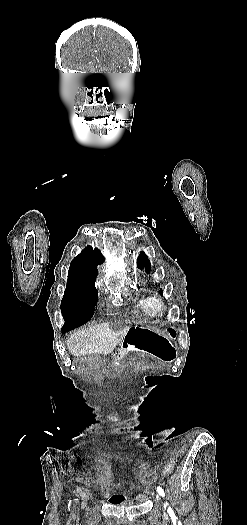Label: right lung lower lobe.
Masks as SVG:
<instances>
[{
	"label": "right lung lower lobe",
	"instance_id": "98d812e1",
	"mask_svg": "<svg viewBox=\"0 0 247 525\" xmlns=\"http://www.w3.org/2000/svg\"><path fill=\"white\" fill-rule=\"evenodd\" d=\"M69 330H71V329H69V328H64V327H63V328H62V333H65V332H67V331H69Z\"/></svg>",
	"mask_w": 247,
	"mask_h": 525
}]
</instances>
